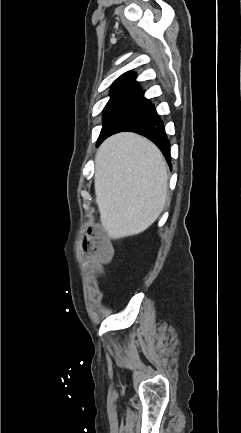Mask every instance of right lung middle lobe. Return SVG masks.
Masks as SVG:
<instances>
[{"mask_svg":"<svg viewBox=\"0 0 241 433\" xmlns=\"http://www.w3.org/2000/svg\"><path fill=\"white\" fill-rule=\"evenodd\" d=\"M150 105V101L142 96L111 98L103 110V128L97 145L110 135L125 129Z\"/></svg>","mask_w":241,"mask_h":433,"instance_id":"obj_1","label":"right lung middle lobe"}]
</instances>
